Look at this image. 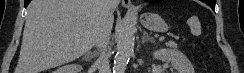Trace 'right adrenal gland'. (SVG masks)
I'll use <instances>...</instances> for the list:
<instances>
[{"label": "right adrenal gland", "instance_id": "1", "mask_svg": "<svg viewBox=\"0 0 244 73\" xmlns=\"http://www.w3.org/2000/svg\"><path fill=\"white\" fill-rule=\"evenodd\" d=\"M97 54H98V52H94L92 56L94 57V56H96Z\"/></svg>", "mask_w": 244, "mask_h": 73}]
</instances>
